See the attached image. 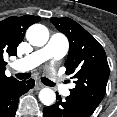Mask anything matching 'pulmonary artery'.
<instances>
[{
    "label": "pulmonary artery",
    "mask_w": 117,
    "mask_h": 117,
    "mask_svg": "<svg viewBox=\"0 0 117 117\" xmlns=\"http://www.w3.org/2000/svg\"><path fill=\"white\" fill-rule=\"evenodd\" d=\"M67 49V38L60 33H56L52 35L45 47L34 51L22 59L17 60L13 64V67L19 71H27L45 61H50L51 64H53L55 61L61 59L66 54ZM52 81L64 95H69V87L63 85L61 81L54 75V73L52 76Z\"/></svg>",
    "instance_id": "1"
}]
</instances>
